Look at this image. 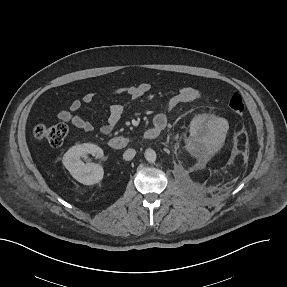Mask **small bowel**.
Returning <instances> with one entry per match:
<instances>
[{"instance_id":"obj_1","label":"small bowel","mask_w":287,"mask_h":287,"mask_svg":"<svg viewBox=\"0 0 287 287\" xmlns=\"http://www.w3.org/2000/svg\"><path fill=\"white\" fill-rule=\"evenodd\" d=\"M150 90V85L148 83H141L134 86L122 87L114 90V93H125L130 104H136L146 93ZM201 96L200 91L192 86L182 87L177 94L169 98L162 110L157 113L154 117V126L160 128L161 130L166 128L169 119L168 115L175 108L181 104L191 103L199 99ZM95 99V93L87 92L80 99H75L70 102L68 108L62 109L58 112V118L63 121L70 123L75 128L85 131L92 132L94 130L93 124L81 117L78 112L86 104H90ZM124 112V107L121 104L115 103L110 106L107 121L100 127V132L102 134H109L117 123L120 121Z\"/></svg>"}]
</instances>
